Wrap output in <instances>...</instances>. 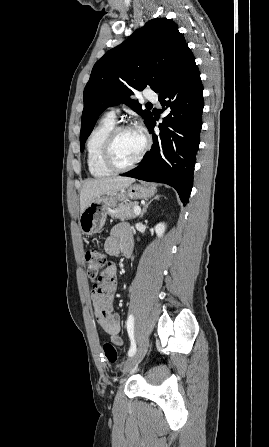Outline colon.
Returning a JSON list of instances; mask_svg holds the SVG:
<instances>
[{
	"mask_svg": "<svg viewBox=\"0 0 269 447\" xmlns=\"http://www.w3.org/2000/svg\"><path fill=\"white\" fill-rule=\"evenodd\" d=\"M84 262L87 278L91 281H96L101 279V273L108 263V257L102 250L90 249L84 254ZM101 349L109 362H115L118 359V351L112 343L108 341L103 342Z\"/></svg>",
	"mask_w": 269,
	"mask_h": 447,
	"instance_id": "1",
	"label": "colon"
}]
</instances>
